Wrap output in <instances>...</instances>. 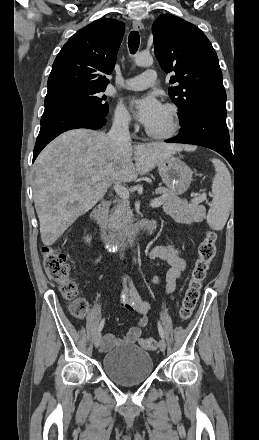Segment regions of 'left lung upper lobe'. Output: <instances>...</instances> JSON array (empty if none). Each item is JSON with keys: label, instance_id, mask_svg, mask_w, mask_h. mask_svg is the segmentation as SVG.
<instances>
[{"label": "left lung upper lobe", "instance_id": "1", "mask_svg": "<svg viewBox=\"0 0 259 440\" xmlns=\"http://www.w3.org/2000/svg\"><path fill=\"white\" fill-rule=\"evenodd\" d=\"M154 52L166 73L171 71L169 96L179 109L183 124L198 108H226V92L217 54L195 25L172 15L159 16L152 26Z\"/></svg>", "mask_w": 259, "mask_h": 440}]
</instances>
